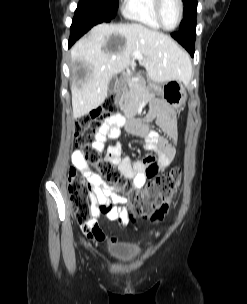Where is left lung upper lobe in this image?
<instances>
[{
    "mask_svg": "<svg viewBox=\"0 0 247 304\" xmlns=\"http://www.w3.org/2000/svg\"><path fill=\"white\" fill-rule=\"evenodd\" d=\"M184 3V18L180 28L196 24L197 0H182Z\"/></svg>",
    "mask_w": 247,
    "mask_h": 304,
    "instance_id": "1",
    "label": "left lung upper lobe"
}]
</instances>
